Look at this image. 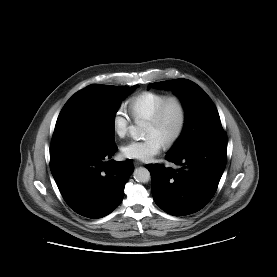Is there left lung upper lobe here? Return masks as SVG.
<instances>
[{
	"label": "left lung upper lobe",
	"mask_w": 277,
	"mask_h": 277,
	"mask_svg": "<svg viewBox=\"0 0 277 277\" xmlns=\"http://www.w3.org/2000/svg\"><path fill=\"white\" fill-rule=\"evenodd\" d=\"M172 89L185 108V126L177 143L167 155L183 153L202 136L223 132L218 111L209 96L195 83L185 80H170L149 84L148 88Z\"/></svg>",
	"instance_id": "5c2ea615"
}]
</instances>
